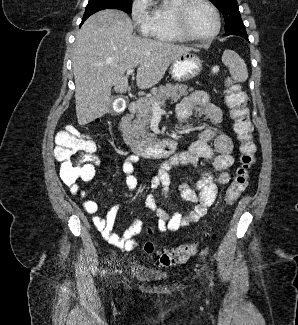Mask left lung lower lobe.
Wrapping results in <instances>:
<instances>
[{"instance_id":"left-lung-lower-lobe-1","label":"left lung lower lobe","mask_w":298,"mask_h":325,"mask_svg":"<svg viewBox=\"0 0 298 325\" xmlns=\"http://www.w3.org/2000/svg\"><path fill=\"white\" fill-rule=\"evenodd\" d=\"M227 35H237V36H241V37L245 38L247 41H249V40H248V35H247L245 29L236 30V31L232 32L231 34H227Z\"/></svg>"}]
</instances>
